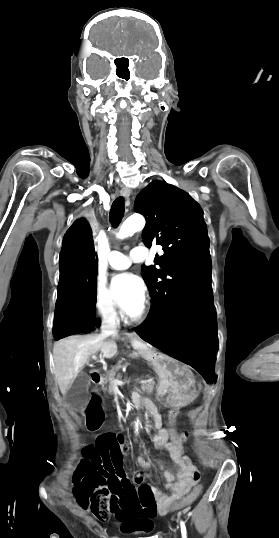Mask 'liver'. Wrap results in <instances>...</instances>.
<instances>
[{
	"mask_svg": "<svg viewBox=\"0 0 279 538\" xmlns=\"http://www.w3.org/2000/svg\"><path fill=\"white\" fill-rule=\"evenodd\" d=\"M112 340L104 342L102 336H69L53 346V358L56 378L61 394L66 392L77 378L80 370L88 362L90 356L102 352L103 358H113L118 352L114 340H119L118 334H112Z\"/></svg>",
	"mask_w": 279,
	"mask_h": 538,
	"instance_id": "1",
	"label": "liver"
}]
</instances>
